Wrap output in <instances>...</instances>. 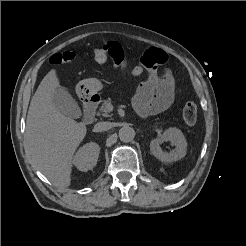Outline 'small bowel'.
Masks as SVG:
<instances>
[{
	"label": "small bowel",
	"mask_w": 246,
	"mask_h": 246,
	"mask_svg": "<svg viewBox=\"0 0 246 246\" xmlns=\"http://www.w3.org/2000/svg\"><path fill=\"white\" fill-rule=\"evenodd\" d=\"M109 44L121 48L117 42H109ZM167 59V54L163 50L151 48L143 54L139 64L133 68L134 75H141L144 70L146 71L144 80L139 85L133 99L134 108L141 116H151L163 112L174 101L172 75L169 72L162 76L157 74V66L166 63ZM121 62L115 64L120 65Z\"/></svg>",
	"instance_id": "obj_1"
}]
</instances>
